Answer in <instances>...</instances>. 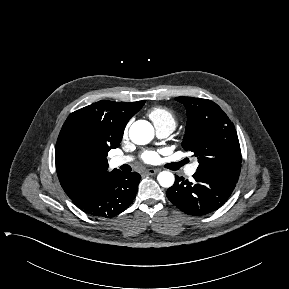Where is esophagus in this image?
<instances>
[{"label":"esophagus","mask_w":289,"mask_h":289,"mask_svg":"<svg viewBox=\"0 0 289 289\" xmlns=\"http://www.w3.org/2000/svg\"><path fill=\"white\" fill-rule=\"evenodd\" d=\"M159 172V169L150 168L145 171L147 175H155Z\"/></svg>","instance_id":"esophagus-1"}]
</instances>
